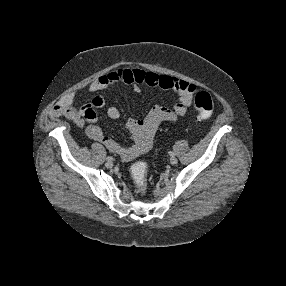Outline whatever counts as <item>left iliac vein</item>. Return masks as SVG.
<instances>
[{"instance_id": "left-iliac-vein-1", "label": "left iliac vein", "mask_w": 286, "mask_h": 286, "mask_svg": "<svg viewBox=\"0 0 286 286\" xmlns=\"http://www.w3.org/2000/svg\"><path fill=\"white\" fill-rule=\"evenodd\" d=\"M177 162H178V159L176 158V157H171L170 158V163L172 164V165H175V164H177Z\"/></svg>"}]
</instances>
